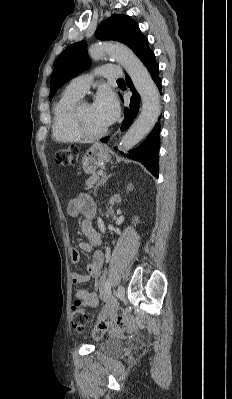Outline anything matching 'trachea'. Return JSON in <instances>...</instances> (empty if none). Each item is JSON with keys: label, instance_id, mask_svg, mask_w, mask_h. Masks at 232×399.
Returning a JSON list of instances; mask_svg holds the SVG:
<instances>
[{"label": "trachea", "instance_id": "trachea-1", "mask_svg": "<svg viewBox=\"0 0 232 399\" xmlns=\"http://www.w3.org/2000/svg\"><path fill=\"white\" fill-rule=\"evenodd\" d=\"M121 80H123L122 78H118V80L117 81H121Z\"/></svg>", "mask_w": 232, "mask_h": 399}]
</instances>
